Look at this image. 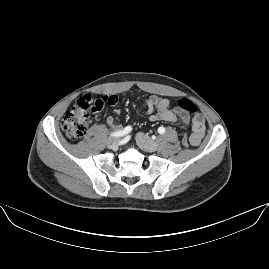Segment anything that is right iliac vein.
<instances>
[{
  "mask_svg": "<svg viewBox=\"0 0 269 269\" xmlns=\"http://www.w3.org/2000/svg\"><path fill=\"white\" fill-rule=\"evenodd\" d=\"M119 138L118 137H113L108 140V147L111 149H114L118 146Z\"/></svg>",
  "mask_w": 269,
  "mask_h": 269,
  "instance_id": "63e3f726",
  "label": "right iliac vein"
}]
</instances>
